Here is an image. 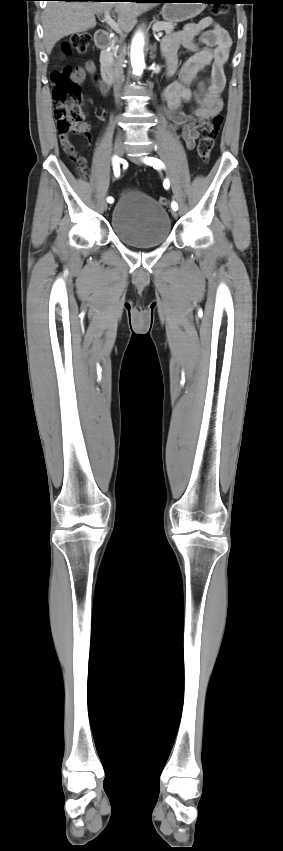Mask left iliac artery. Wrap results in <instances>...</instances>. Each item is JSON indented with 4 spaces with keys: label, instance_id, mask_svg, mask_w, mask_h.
Masks as SVG:
<instances>
[{
    "label": "left iliac artery",
    "instance_id": "left-iliac-artery-1",
    "mask_svg": "<svg viewBox=\"0 0 283 851\" xmlns=\"http://www.w3.org/2000/svg\"><path fill=\"white\" fill-rule=\"evenodd\" d=\"M144 162L148 165L153 166L154 168L164 167L163 162L161 160L157 159V158H154V157H148V158L146 157L144 159ZM163 186H164L165 189L169 188L170 183H169L168 179H166L164 181ZM171 207H172L173 210L176 211L178 209V204L175 201H173L172 204H171Z\"/></svg>",
    "mask_w": 283,
    "mask_h": 851
}]
</instances>
